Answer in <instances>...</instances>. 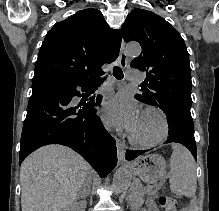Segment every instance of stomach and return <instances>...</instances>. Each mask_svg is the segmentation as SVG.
Masks as SVG:
<instances>
[{
	"label": "stomach",
	"instance_id": "stomach-1",
	"mask_svg": "<svg viewBox=\"0 0 219 211\" xmlns=\"http://www.w3.org/2000/svg\"><path fill=\"white\" fill-rule=\"evenodd\" d=\"M166 162L161 155L149 154L137 158L130 164V170L142 181L153 184L165 173Z\"/></svg>",
	"mask_w": 219,
	"mask_h": 211
}]
</instances>
